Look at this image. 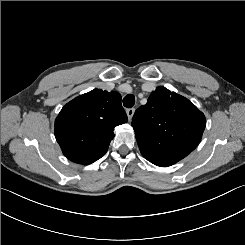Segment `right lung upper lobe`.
Returning <instances> with one entry per match:
<instances>
[{
    "label": "right lung upper lobe",
    "instance_id": "cb5924a9",
    "mask_svg": "<svg viewBox=\"0 0 245 245\" xmlns=\"http://www.w3.org/2000/svg\"><path fill=\"white\" fill-rule=\"evenodd\" d=\"M127 121L118 92L94 89L62 108L55 120V137L69 160L89 165L105 155L114 128Z\"/></svg>",
    "mask_w": 245,
    "mask_h": 245
}]
</instances>
